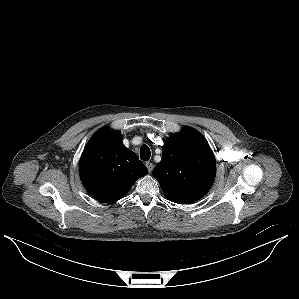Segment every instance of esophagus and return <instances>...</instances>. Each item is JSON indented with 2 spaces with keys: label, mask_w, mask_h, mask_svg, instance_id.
<instances>
[{
  "label": "esophagus",
  "mask_w": 299,
  "mask_h": 299,
  "mask_svg": "<svg viewBox=\"0 0 299 299\" xmlns=\"http://www.w3.org/2000/svg\"><path fill=\"white\" fill-rule=\"evenodd\" d=\"M145 165H146L149 173H151L153 170V164L151 162H146Z\"/></svg>",
  "instance_id": "34e87169"
}]
</instances>
